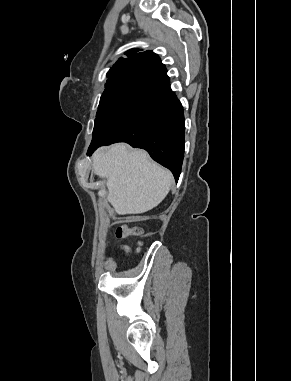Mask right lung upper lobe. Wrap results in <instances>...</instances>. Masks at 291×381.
Instances as JSON below:
<instances>
[{
	"instance_id": "obj_1",
	"label": "right lung upper lobe",
	"mask_w": 291,
	"mask_h": 381,
	"mask_svg": "<svg viewBox=\"0 0 291 381\" xmlns=\"http://www.w3.org/2000/svg\"><path fill=\"white\" fill-rule=\"evenodd\" d=\"M131 49L120 58L107 73L105 89L113 87L133 77H143L165 68L157 54L152 51L139 52Z\"/></svg>"
}]
</instances>
